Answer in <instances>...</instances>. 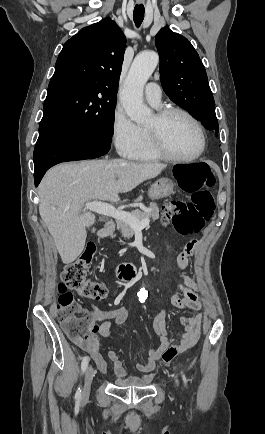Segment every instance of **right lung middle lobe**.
Listing matches in <instances>:
<instances>
[{"instance_id": "1", "label": "right lung middle lobe", "mask_w": 265, "mask_h": 434, "mask_svg": "<svg viewBox=\"0 0 265 434\" xmlns=\"http://www.w3.org/2000/svg\"><path fill=\"white\" fill-rule=\"evenodd\" d=\"M117 91L98 79H51L42 120H56L80 132L111 137Z\"/></svg>"}]
</instances>
